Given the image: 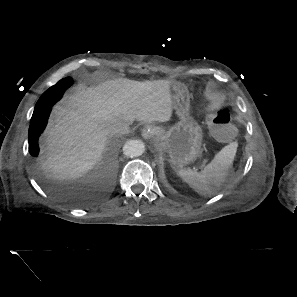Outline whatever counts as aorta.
<instances>
[{"instance_id": "obj_1", "label": "aorta", "mask_w": 297, "mask_h": 297, "mask_svg": "<svg viewBox=\"0 0 297 297\" xmlns=\"http://www.w3.org/2000/svg\"><path fill=\"white\" fill-rule=\"evenodd\" d=\"M145 151V145L141 140H128L123 146V153L127 157L141 156Z\"/></svg>"}]
</instances>
